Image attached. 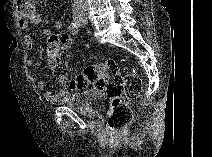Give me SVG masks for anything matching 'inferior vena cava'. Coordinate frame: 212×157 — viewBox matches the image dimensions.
<instances>
[{
  "label": "inferior vena cava",
  "instance_id": "inferior-vena-cava-1",
  "mask_svg": "<svg viewBox=\"0 0 212 157\" xmlns=\"http://www.w3.org/2000/svg\"><path fill=\"white\" fill-rule=\"evenodd\" d=\"M74 8L77 10L85 11L86 5L84 0H74Z\"/></svg>",
  "mask_w": 212,
  "mask_h": 157
}]
</instances>
